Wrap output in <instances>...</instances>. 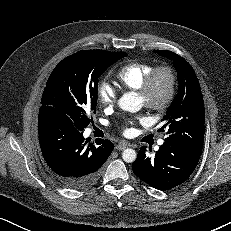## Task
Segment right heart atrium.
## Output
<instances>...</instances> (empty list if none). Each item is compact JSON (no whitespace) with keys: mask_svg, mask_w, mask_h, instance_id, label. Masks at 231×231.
Listing matches in <instances>:
<instances>
[{"mask_svg":"<svg viewBox=\"0 0 231 231\" xmlns=\"http://www.w3.org/2000/svg\"><path fill=\"white\" fill-rule=\"evenodd\" d=\"M96 96L98 102L106 107H111L116 102V91L113 86L106 81L98 84Z\"/></svg>","mask_w":231,"mask_h":231,"instance_id":"obj_1","label":"right heart atrium"}]
</instances>
